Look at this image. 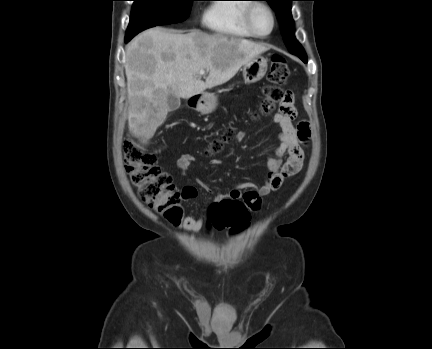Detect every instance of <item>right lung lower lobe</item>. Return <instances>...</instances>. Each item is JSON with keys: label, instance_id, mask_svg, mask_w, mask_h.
Segmentation results:
<instances>
[{"label": "right lung lower lobe", "instance_id": "98d812e1", "mask_svg": "<svg viewBox=\"0 0 432 349\" xmlns=\"http://www.w3.org/2000/svg\"><path fill=\"white\" fill-rule=\"evenodd\" d=\"M131 38L125 37V42H128Z\"/></svg>", "mask_w": 432, "mask_h": 349}]
</instances>
